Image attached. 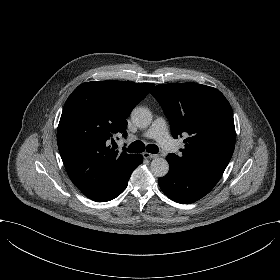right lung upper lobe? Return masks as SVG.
Returning <instances> with one entry per match:
<instances>
[{
	"label": "right lung upper lobe",
	"instance_id": "1",
	"mask_svg": "<svg viewBox=\"0 0 280 280\" xmlns=\"http://www.w3.org/2000/svg\"><path fill=\"white\" fill-rule=\"evenodd\" d=\"M153 86L92 81L79 85L67 99L57 144L69 178L91 200L100 201L134 167L139 154L118 153L108 143L115 134L126 136V119Z\"/></svg>",
	"mask_w": 280,
	"mask_h": 280
}]
</instances>
